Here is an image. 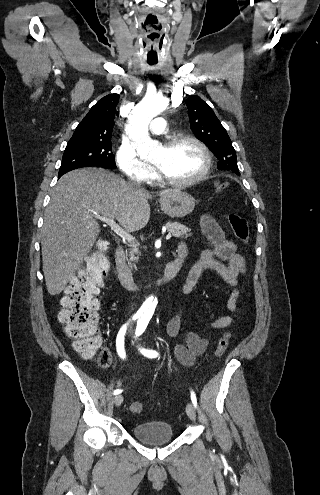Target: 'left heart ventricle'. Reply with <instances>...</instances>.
I'll list each match as a JSON object with an SVG mask.
<instances>
[{
    "label": "left heart ventricle",
    "instance_id": "left-heart-ventricle-1",
    "mask_svg": "<svg viewBox=\"0 0 320 495\" xmlns=\"http://www.w3.org/2000/svg\"><path fill=\"white\" fill-rule=\"evenodd\" d=\"M152 162L168 177L182 180L201 172L204 158L192 143H180L171 148L159 149Z\"/></svg>",
    "mask_w": 320,
    "mask_h": 495
}]
</instances>
